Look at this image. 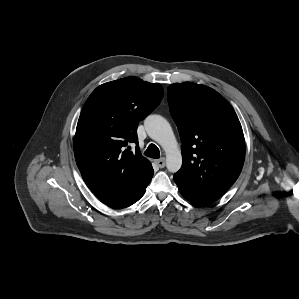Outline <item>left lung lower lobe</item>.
Masks as SVG:
<instances>
[{
    "mask_svg": "<svg viewBox=\"0 0 299 299\" xmlns=\"http://www.w3.org/2000/svg\"><path fill=\"white\" fill-rule=\"evenodd\" d=\"M174 181L182 196L193 204L205 205L216 201L220 196L197 189L174 177Z\"/></svg>",
    "mask_w": 299,
    "mask_h": 299,
    "instance_id": "obj_1",
    "label": "left lung lower lobe"
}]
</instances>
